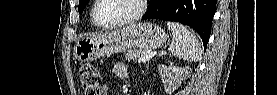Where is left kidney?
<instances>
[{"label": "left kidney", "instance_id": "1", "mask_svg": "<svg viewBox=\"0 0 277 95\" xmlns=\"http://www.w3.org/2000/svg\"><path fill=\"white\" fill-rule=\"evenodd\" d=\"M189 74L188 68L179 67H163L160 70V77L164 87L168 90H174L177 88L181 81Z\"/></svg>", "mask_w": 277, "mask_h": 95}]
</instances>
